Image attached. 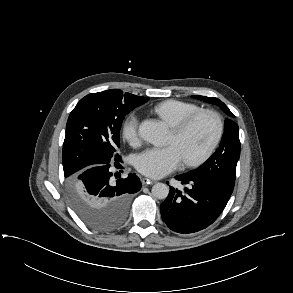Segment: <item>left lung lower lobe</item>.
<instances>
[{
  "label": "left lung lower lobe",
  "mask_w": 293,
  "mask_h": 293,
  "mask_svg": "<svg viewBox=\"0 0 293 293\" xmlns=\"http://www.w3.org/2000/svg\"><path fill=\"white\" fill-rule=\"evenodd\" d=\"M175 179L190 184L185 193L170 187L166 200L161 204V216L173 231L195 233L211 225L224 210L234 187L217 179L185 173Z\"/></svg>",
  "instance_id": "left-lung-lower-lobe-1"
}]
</instances>
